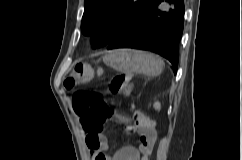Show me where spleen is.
I'll return each mask as SVG.
<instances>
[{"label": "spleen", "instance_id": "1", "mask_svg": "<svg viewBox=\"0 0 242 160\" xmlns=\"http://www.w3.org/2000/svg\"><path fill=\"white\" fill-rule=\"evenodd\" d=\"M159 62H160V64H161V70H162V68H163V66H164V62H163L161 59H159Z\"/></svg>", "mask_w": 242, "mask_h": 160}]
</instances>
